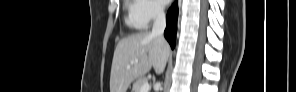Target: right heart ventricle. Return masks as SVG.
Here are the masks:
<instances>
[{
  "mask_svg": "<svg viewBox=\"0 0 296 92\" xmlns=\"http://www.w3.org/2000/svg\"><path fill=\"white\" fill-rule=\"evenodd\" d=\"M127 7L128 15L126 17V24L135 30L143 29L145 26L142 25L136 17L135 4L133 2H128Z\"/></svg>",
  "mask_w": 296,
  "mask_h": 92,
  "instance_id": "right-heart-ventricle-1",
  "label": "right heart ventricle"
}]
</instances>
